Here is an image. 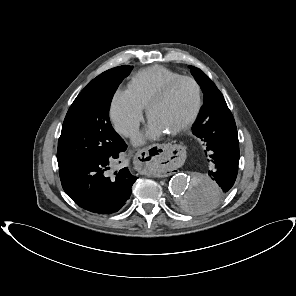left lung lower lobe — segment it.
I'll return each mask as SVG.
<instances>
[{
  "mask_svg": "<svg viewBox=\"0 0 296 296\" xmlns=\"http://www.w3.org/2000/svg\"><path fill=\"white\" fill-rule=\"evenodd\" d=\"M198 135L206 147L205 155L213 163L208 172L218 187L204 185L202 192L193 189L190 200L185 203L196 209H208L222 200L233 187L239 164V141L235 120L226 102L217 107L200 125Z\"/></svg>",
  "mask_w": 296,
  "mask_h": 296,
  "instance_id": "left-lung-lower-lobe-1",
  "label": "left lung lower lobe"
}]
</instances>
